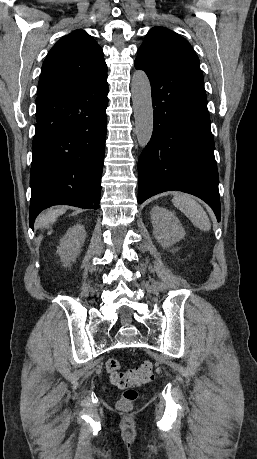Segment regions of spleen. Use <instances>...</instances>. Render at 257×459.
<instances>
[{"mask_svg":"<svg viewBox=\"0 0 257 459\" xmlns=\"http://www.w3.org/2000/svg\"><path fill=\"white\" fill-rule=\"evenodd\" d=\"M175 207L183 212L200 230L211 229L210 219L203 207L189 194L176 193L172 199Z\"/></svg>","mask_w":257,"mask_h":459,"instance_id":"obj_1","label":"spleen"}]
</instances>
